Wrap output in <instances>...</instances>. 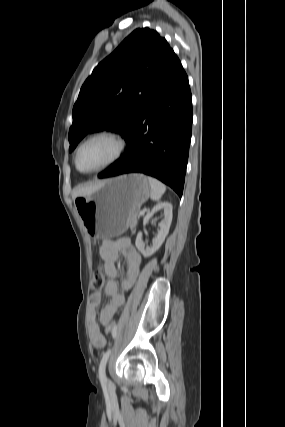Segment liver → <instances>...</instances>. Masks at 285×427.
Instances as JSON below:
<instances>
[{"label":"liver","mask_w":285,"mask_h":427,"mask_svg":"<svg viewBox=\"0 0 285 427\" xmlns=\"http://www.w3.org/2000/svg\"><path fill=\"white\" fill-rule=\"evenodd\" d=\"M105 181H98L93 184L79 185L72 192L73 199L79 196H87L96 191Z\"/></svg>","instance_id":"1"}]
</instances>
